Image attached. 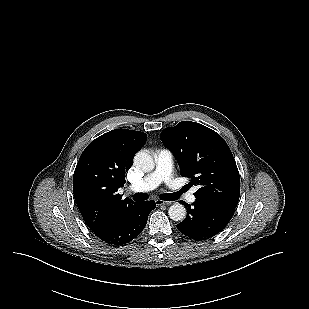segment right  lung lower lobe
Returning a JSON list of instances; mask_svg holds the SVG:
<instances>
[{"instance_id": "1", "label": "right lung lower lobe", "mask_w": 309, "mask_h": 309, "mask_svg": "<svg viewBox=\"0 0 309 309\" xmlns=\"http://www.w3.org/2000/svg\"><path fill=\"white\" fill-rule=\"evenodd\" d=\"M155 202H138L119 213L101 232L96 233L102 241L111 245H123L136 238L144 229Z\"/></svg>"}]
</instances>
